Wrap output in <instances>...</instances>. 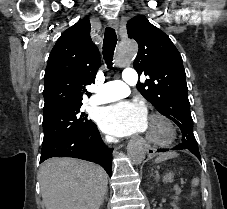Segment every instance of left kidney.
<instances>
[{
    "label": "left kidney",
    "mask_w": 227,
    "mask_h": 209,
    "mask_svg": "<svg viewBox=\"0 0 227 209\" xmlns=\"http://www.w3.org/2000/svg\"><path fill=\"white\" fill-rule=\"evenodd\" d=\"M172 207H174V209H179V207H177V205H175V203H171Z\"/></svg>",
    "instance_id": "obj_1"
}]
</instances>
